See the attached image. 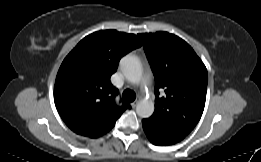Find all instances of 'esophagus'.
<instances>
[{"instance_id":"obj_1","label":"esophagus","mask_w":261,"mask_h":162,"mask_svg":"<svg viewBox=\"0 0 261 162\" xmlns=\"http://www.w3.org/2000/svg\"><path fill=\"white\" fill-rule=\"evenodd\" d=\"M137 104H138V100L132 102V103H131V106H132L133 108H135V107L137 106Z\"/></svg>"}]
</instances>
